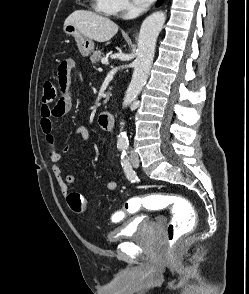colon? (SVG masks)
<instances>
[{"label":"colon","mask_w":249,"mask_h":294,"mask_svg":"<svg viewBox=\"0 0 249 294\" xmlns=\"http://www.w3.org/2000/svg\"><path fill=\"white\" fill-rule=\"evenodd\" d=\"M70 66V59L66 58L61 62L59 69L66 73ZM57 98V86L51 81H45L43 85V102L50 104L56 101ZM67 201L75 214L84 215L87 213L86 201L80 194L70 193L67 196ZM166 206H173L174 212L172 219L166 227V237L169 243H176L184 234L191 231L196 223L194 208L186 199L170 194L134 197L124 203L121 212L118 214L122 219L127 215L138 212L142 208L158 209Z\"/></svg>","instance_id":"obj_1"}]
</instances>
